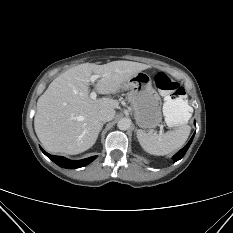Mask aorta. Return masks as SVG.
Returning a JSON list of instances; mask_svg holds the SVG:
<instances>
[{"label":"aorta","mask_w":233,"mask_h":233,"mask_svg":"<svg viewBox=\"0 0 233 233\" xmlns=\"http://www.w3.org/2000/svg\"><path fill=\"white\" fill-rule=\"evenodd\" d=\"M130 126H131V120L129 118H122L117 123V127L120 130H128Z\"/></svg>","instance_id":"obj_1"}]
</instances>
